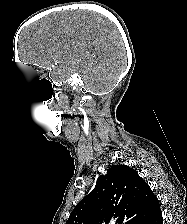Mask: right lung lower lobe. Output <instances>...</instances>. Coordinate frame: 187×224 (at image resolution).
Masks as SVG:
<instances>
[{"instance_id": "1", "label": "right lung lower lobe", "mask_w": 187, "mask_h": 224, "mask_svg": "<svg viewBox=\"0 0 187 224\" xmlns=\"http://www.w3.org/2000/svg\"><path fill=\"white\" fill-rule=\"evenodd\" d=\"M136 224H163V218L161 210L157 211L155 214L146 217L138 222Z\"/></svg>"}]
</instances>
